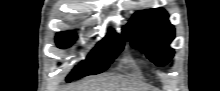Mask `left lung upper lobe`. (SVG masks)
Listing matches in <instances>:
<instances>
[{"label":"left lung upper lobe","instance_id":"1","mask_svg":"<svg viewBox=\"0 0 220 91\" xmlns=\"http://www.w3.org/2000/svg\"><path fill=\"white\" fill-rule=\"evenodd\" d=\"M168 17L162 8L139 11L123 30L126 41H131L133 48L159 66L168 63L174 54L169 44L175 37V30Z\"/></svg>","mask_w":220,"mask_h":91}]
</instances>
